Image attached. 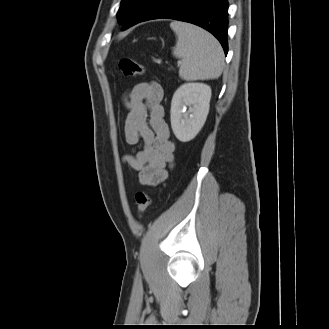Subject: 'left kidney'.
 Listing matches in <instances>:
<instances>
[{
  "mask_svg": "<svg viewBox=\"0 0 329 329\" xmlns=\"http://www.w3.org/2000/svg\"><path fill=\"white\" fill-rule=\"evenodd\" d=\"M211 88L204 83H185L173 95L171 127L181 142L192 140L202 129L209 113ZM189 106L187 112L183 108Z\"/></svg>",
  "mask_w": 329,
  "mask_h": 329,
  "instance_id": "5707ae66",
  "label": "left kidney"
}]
</instances>
